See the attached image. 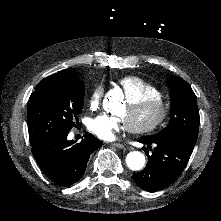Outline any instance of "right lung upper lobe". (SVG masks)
Here are the masks:
<instances>
[{"instance_id": "right-lung-upper-lobe-1", "label": "right lung upper lobe", "mask_w": 221, "mask_h": 221, "mask_svg": "<svg viewBox=\"0 0 221 221\" xmlns=\"http://www.w3.org/2000/svg\"><path fill=\"white\" fill-rule=\"evenodd\" d=\"M63 72H75L72 68H69V69H66V70H63Z\"/></svg>"}]
</instances>
